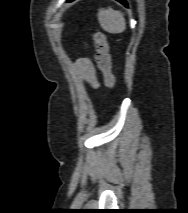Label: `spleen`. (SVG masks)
Returning <instances> with one entry per match:
<instances>
[{
	"label": "spleen",
	"instance_id": "spleen-1",
	"mask_svg": "<svg viewBox=\"0 0 188 213\" xmlns=\"http://www.w3.org/2000/svg\"><path fill=\"white\" fill-rule=\"evenodd\" d=\"M98 20L102 29L112 34L122 33L126 29L123 14L110 7L108 9H99Z\"/></svg>",
	"mask_w": 188,
	"mask_h": 213
}]
</instances>
